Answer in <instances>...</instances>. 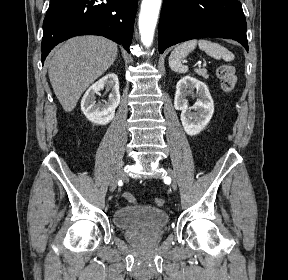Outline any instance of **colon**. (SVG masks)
<instances>
[{
    "label": "colon",
    "mask_w": 288,
    "mask_h": 280,
    "mask_svg": "<svg viewBox=\"0 0 288 280\" xmlns=\"http://www.w3.org/2000/svg\"><path fill=\"white\" fill-rule=\"evenodd\" d=\"M216 75L220 81L221 89L225 93L234 91L236 86V75L233 66L226 63L219 64L216 68ZM126 198L131 202H135L134 197L130 194H126ZM154 202L158 207H161L164 205L165 201L162 198H155Z\"/></svg>",
    "instance_id": "5ec220e1"
}]
</instances>
